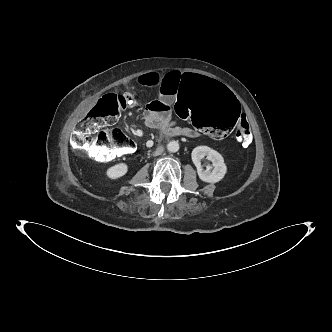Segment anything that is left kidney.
<instances>
[{
	"label": "left kidney",
	"instance_id": "obj_1",
	"mask_svg": "<svg viewBox=\"0 0 332 332\" xmlns=\"http://www.w3.org/2000/svg\"><path fill=\"white\" fill-rule=\"evenodd\" d=\"M205 157L212 162V165L207 164L204 169L201 161ZM191 158L197 168L199 178L204 182L217 183L224 178L227 172V166L222 155L208 146H198L194 148L191 153Z\"/></svg>",
	"mask_w": 332,
	"mask_h": 332
}]
</instances>
